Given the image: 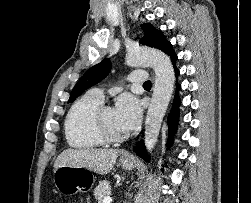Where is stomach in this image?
<instances>
[{
	"label": "stomach",
	"instance_id": "0dacf381",
	"mask_svg": "<svg viewBox=\"0 0 251 203\" xmlns=\"http://www.w3.org/2000/svg\"><path fill=\"white\" fill-rule=\"evenodd\" d=\"M123 169L131 170L135 162L132 159H120ZM95 182L91 170L84 167L62 166L54 172V184L57 190L64 195L76 192L89 191Z\"/></svg>",
	"mask_w": 251,
	"mask_h": 203
}]
</instances>
